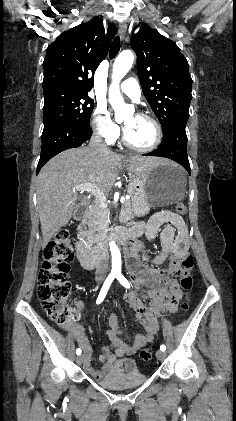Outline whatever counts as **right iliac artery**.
<instances>
[{
    "instance_id": "82829eb1",
    "label": "right iliac artery",
    "mask_w": 236,
    "mask_h": 421,
    "mask_svg": "<svg viewBox=\"0 0 236 421\" xmlns=\"http://www.w3.org/2000/svg\"><path fill=\"white\" fill-rule=\"evenodd\" d=\"M115 277H116V274L115 273H110L109 276L106 278V280H105V282H104V284H103V286L101 288V291L99 293V296L97 298V301H96L97 304H100L104 300V298H105V296H106V294L108 292V289H109L111 283L113 282V280L115 279ZM81 352L82 351H81L80 348H78L76 350V354L77 355H80Z\"/></svg>"
}]
</instances>
